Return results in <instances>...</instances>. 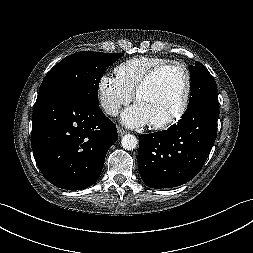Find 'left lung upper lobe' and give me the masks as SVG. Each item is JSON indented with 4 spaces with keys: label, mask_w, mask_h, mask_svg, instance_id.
Returning <instances> with one entry per match:
<instances>
[{
    "label": "left lung upper lobe",
    "mask_w": 253,
    "mask_h": 253,
    "mask_svg": "<svg viewBox=\"0 0 253 253\" xmlns=\"http://www.w3.org/2000/svg\"><path fill=\"white\" fill-rule=\"evenodd\" d=\"M191 73V98L187 110L201 103H218L217 85L213 76L200 62L189 67Z\"/></svg>",
    "instance_id": "1"
}]
</instances>
